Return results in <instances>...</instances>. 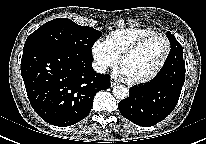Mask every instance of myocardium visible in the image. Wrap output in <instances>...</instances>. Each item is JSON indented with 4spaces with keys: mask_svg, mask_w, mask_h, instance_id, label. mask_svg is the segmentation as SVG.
<instances>
[{
    "mask_svg": "<svg viewBox=\"0 0 206 144\" xmlns=\"http://www.w3.org/2000/svg\"><path fill=\"white\" fill-rule=\"evenodd\" d=\"M154 38H161L164 43H165V54L160 62V64L158 65V67L149 75L143 77V78H138V79H131L128 78V81L131 84L134 85H141V84H146L149 83L151 81H153L154 79H156L160 73L162 72V70L164 69L170 53H171V43L169 41V39L161 33H154L148 36H145L141 39H139L138 41H136L135 43H133L132 45H130L129 47H127L119 56L118 61H119V65L120 67H122V64L124 62V60L126 58H128L129 56H131L132 54H134L135 52H137L141 47H143L147 42H149L150 40L154 39Z\"/></svg>",
    "mask_w": 206,
    "mask_h": 144,
    "instance_id": "f54148a6",
    "label": "myocardium"
}]
</instances>
